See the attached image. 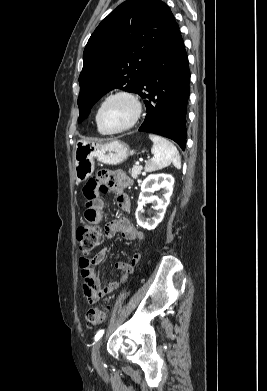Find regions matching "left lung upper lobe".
<instances>
[{
    "label": "left lung upper lobe",
    "instance_id": "obj_1",
    "mask_svg": "<svg viewBox=\"0 0 267 391\" xmlns=\"http://www.w3.org/2000/svg\"><path fill=\"white\" fill-rule=\"evenodd\" d=\"M178 29L160 0H127L102 20L83 53L78 122L111 89L136 93L152 59Z\"/></svg>",
    "mask_w": 267,
    "mask_h": 391
}]
</instances>
